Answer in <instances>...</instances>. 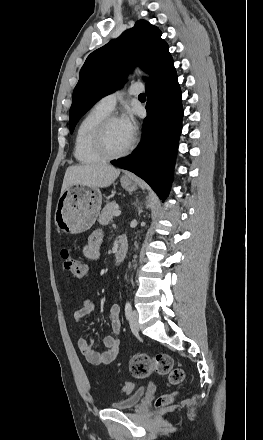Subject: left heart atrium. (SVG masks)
I'll list each match as a JSON object with an SVG mask.
<instances>
[{
  "mask_svg": "<svg viewBox=\"0 0 263 440\" xmlns=\"http://www.w3.org/2000/svg\"><path fill=\"white\" fill-rule=\"evenodd\" d=\"M121 125L130 139H132L136 132V122L130 113H125L120 119Z\"/></svg>",
  "mask_w": 263,
  "mask_h": 440,
  "instance_id": "1",
  "label": "left heart atrium"
}]
</instances>
